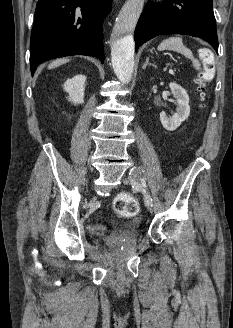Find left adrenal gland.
<instances>
[{
  "mask_svg": "<svg viewBox=\"0 0 233 328\" xmlns=\"http://www.w3.org/2000/svg\"><path fill=\"white\" fill-rule=\"evenodd\" d=\"M148 65H149V66H152V67H155V68L157 67L155 64L149 63V58L147 57L145 63H144L143 66H142V69H146V67H147Z\"/></svg>",
  "mask_w": 233,
  "mask_h": 328,
  "instance_id": "left-adrenal-gland-1",
  "label": "left adrenal gland"
}]
</instances>
